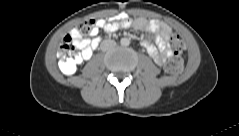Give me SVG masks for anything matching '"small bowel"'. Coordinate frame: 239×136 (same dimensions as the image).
<instances>
[{"label": "small bowel", "mask_w": 239, "mask_h": 136, "mask_svg": "<svg viewBox=\"0 0 239 136\" xmlns=\"http://www.w3.org/2000/svg\"><path fill=\"white\" fill-rule=\"evenodd\" d=\"M130 26L148 33V36L142 40L141 45L157 65H163L173 55L169 44L173 34L172 28L158 20L137 18L131 21L128 18H122L120 21L106 22L103 19H98L96 28L92 33L93 38H80L75 30L71 32V35L75 44L81 49V58L87 60L92 56L93 51L100 42L99 30L102 29L107 33H112L120 28Z\"/></svg>", "instance_id": "c3829d8e"}]
</instances>
